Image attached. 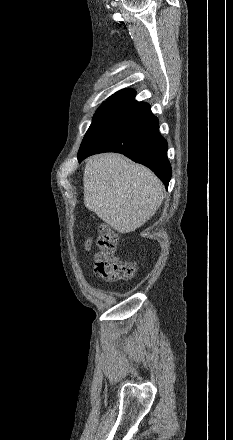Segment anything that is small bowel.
Here are the masks:
<instances>
[{
  "label": "small bowel",
  "instance_id": "c3829d8e",
  "mask_svg": "<svg viewBox=\"0 0 233 440\" xmlns=\"http://www.w3.org/2000/svg\"><path fill=\"white\" fill-rule=\"evenodd\" d=\"M85 248H86L87 250H89V249L91 248V240H90V239L86 241V243H85Z\"/></svg>",
  "mask_w": 233,
  "mask_h": 440
}]
</instances>
